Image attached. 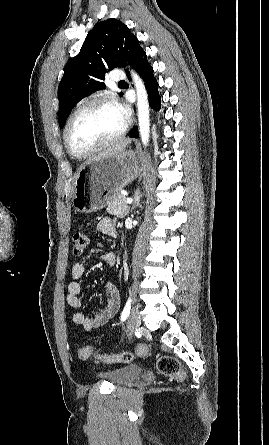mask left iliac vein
<instances>
[{
    "label": "left iliac vein",
    "mask_w": 269,
    "mask_h": 445,
    "mask_svg": "<svg viewBox=\"0 0 269 445\" xmlns=\"http://www.w3.org/2000/svg\"><path fill=\"white\" fill-rule=\"evenodd\" d=\"M141 324L140 314L137 308H133L128 320V331L127 334L130 336Z\"/></svg>",
    "instance_id": "1"
}]
</instances>
